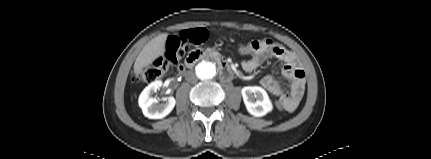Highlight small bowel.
Here are the masks:
<instances>
[{
	"mask_svg": "<svg viewBox=\"0 0 431 159\" xmlns=\"http://www.w3.org/2000/svg\"><path fill=\"white\" fill-rule=\"evenodd\" d=\"M241 45H249L252 48L250 52L244 54L249 56V59L242 62V67L247 72L257 69L270 57L282 62L281 75L289 82V92H285L277 79L271 75L265 76L261 83L271 94L280 98L283 110H295L302 99L305 88V72L298 65L296 56L270 39L253 40Z\"/></svg>",
	"mask_w": 431,
	"mask_h": 159,
	"instance_id": "1",
	"label": "small bowel"
}]
</instances>
